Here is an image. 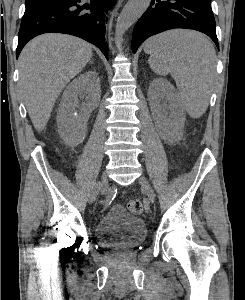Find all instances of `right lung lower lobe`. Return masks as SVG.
Returning a JSON list of instances; mask_svg holds the SVG:
<instances>
[{
	"label": "right lung lower lobe",
	"mask_w": 245,
	"mask_h": 300,
	"mask_svg": "<svg viewBox=\"0 0 245 300\" xmlns=\"http://www.w3.org/2000/svg\"><path fill=\"white\" fill-rule=\"evenodd\" d=\"M114 0H52L26 9L22 18L16 56L25 44L37 35L55 32L80 37L96 45L108 59L105 42L107 10Z\"/></svg>",
	"instance_id": "98d812e1"
}]
</instances>
